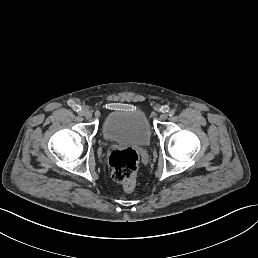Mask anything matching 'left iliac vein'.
<instances>
[{
    "instance_id": "left-iliac-vein-1",
    "label": "left iliac vein",
    "mask_w": 258,
    "mask_h": 258,
    "mask_svg": "<svg viewBox=\"0 0 258 258\" xmlns=\"http://www.w3.org/2000/svg\"><path fill=\"white\" fill-rule=\"evenodd\" d=\"M159 118H160V120H162V121L164 120L165 121V120H167L168 117H167V115H165V114L163 115L162 114V115H160Z\"/></svg>"
}]
</instances>
